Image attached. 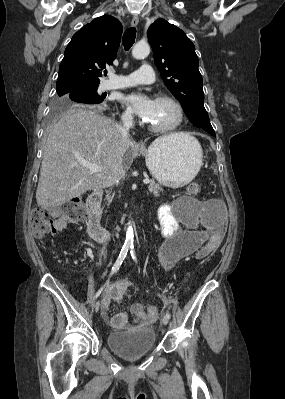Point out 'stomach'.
Here are the masks:
<instances>
[{
    "instance_id": "stomach-1",
    "label": "stomach",
    "mask_w": 285,
    "mask_h": 399,
    "mask_svg": "<svg viewBox=\"0 0 285 399\" xmlns=\"http://www.w3.org/2000/svg\"><path fill=\"white\" fill-rule=\"evenodd\" d=\"M152 176L162 185L178 188L190 183L202 166L199 142L182 135L177 138H158L147 150H140Z\"/></svg>"
}]
</instances>
